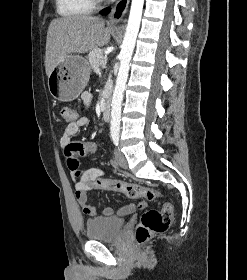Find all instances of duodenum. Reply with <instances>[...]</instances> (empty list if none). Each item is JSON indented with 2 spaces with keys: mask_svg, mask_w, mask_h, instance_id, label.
<instances>
[{
  "mask_svg": "<svg viewBox=\"0 0 247 280\" xmlns=\"http://www.w3.org/2000/svg\"><path fill=\"white\" fill-rule=\"evenodd\" d=\"M102 116L105 121H109L111 117V103L108 99L105 100L102 108Z\"/></svg>",
  "mask_w": 247,
  "mask_h": 280,
  "instance_id": "1",
  "label": "duodenum"
}]
</instances>
